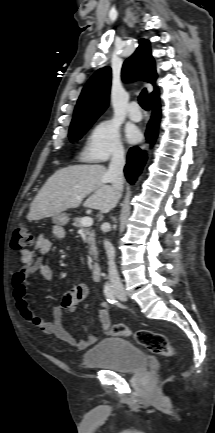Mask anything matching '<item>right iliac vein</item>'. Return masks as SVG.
<instances>
[{
	"instance_id": "right-iliac-vein-1",
	"label": "right iliac vein",
	"mask_w": 215,
	"mask_h": 433,
	"mask_svg": "<svg viewBox=\"0 0 215 433\" xmlns=\"http://www.w3.org/2000/svg\"><path fill=\"white\" fill-rule=\"evenodd\" d=\"M119 295H120V296H125L126 294H125V293H120Z\"/></svg>"
}]
</instances>
